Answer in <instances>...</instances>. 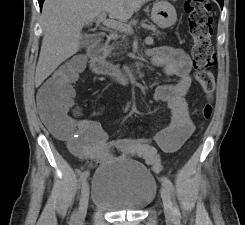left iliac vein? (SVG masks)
Instances as JSON below:
<instances>
[{
    "mask_svg": "<svg viewBox=\"0 0 245 225\" xmlns=\"http://www.w3.org/2000/svg\"><path fill=\"white\" fill-rule=\"evenodd\" d=\"M161 196L164 206L165 217L168 221H172L174 219L173 204L169 191L165 186H162L161 188Z\"/></svg>",
    "mask_w": 245,
    "mask_h": 225,
    "instance_id": "1",
    "label": "left iliac vein"
}]
</instances>
